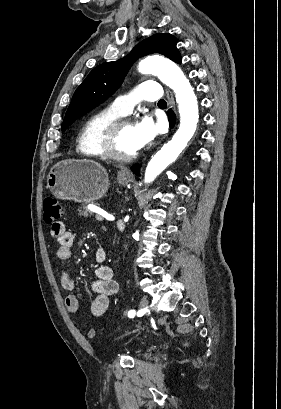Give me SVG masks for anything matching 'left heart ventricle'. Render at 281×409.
<instances>
[{
    "label": "left heart ventricle",
    "instance_id": "1",
    "mask_svg": "<svg viewBox=\"0 0 281 409\" xmlns=\"http://www.w3.org/2000/svg\"><path fill=\"white\" fill-rule=\"evenodd\" d=\"M113 145L116 151L129 154L138 151L135 126H123L115 134Z\"/></svg>",
    "mask_w": 281,
    "mask_h": 409
}]
</instances>
